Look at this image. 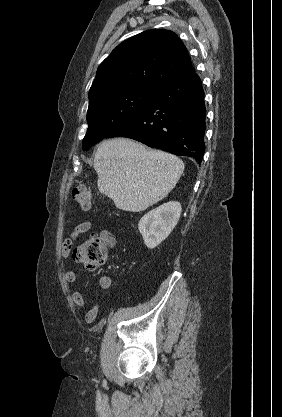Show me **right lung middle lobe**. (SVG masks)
<instances>
[{
  "instance_id": "obj_1",
  "label": "right lung middle lobe",
  "mask_w": 282,
  "mask_h": 417,
  "mask_svg": "<svg viewBox=\"0 0 282 417\" xmlns=\"http://www.w3.org/2000/svg\"><path fill=\"white\" fill-rule=\"evenodd\" d=\"M157 91L130 88L89 97L88 130L83 139V150L88 151L112 130L143 108Z\"/></svg>"
}]
</instances>
